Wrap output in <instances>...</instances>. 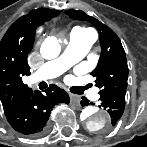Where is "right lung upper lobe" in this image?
<instances>
[{
  "mask_svg": "<svg viewBox=\"0 0 147 147\" xmlns=\"http://www.w3.org/2000/svg\"><path fill=\"white\" fill-rule=\"evenodd\" d=\"M59 11L40 8L31 10L16 20L0 42V100L4 112L25 102L32 90L22 77L30 75L27 56L32 50L35 30L45 21L59 15Z\"/></svg>",
  "mask_w": 147,
  "mask_h": 147,
  "instance_id": "cb5924a9",
  "label": "right lung upper lobe"
}]
</instances>
